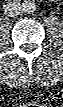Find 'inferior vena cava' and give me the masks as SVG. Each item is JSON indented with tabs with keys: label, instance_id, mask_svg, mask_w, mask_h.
<instances>
[{
	"label": "inferior vena cava",
	"instance_id": "obj_1",
	"mask_svg": "<svg viewBox=\"0 0 63 107\" xmlns=\"http://www.w3.org/2000/svg\"><path fill=\"white\" fill-rule=\"evenodd\" d=\"M21 9H22L21 4L15 0L7 2L6 5L4 6L5 14L10 17L19 15Z\"/></svg>",
	"mask_w": 63,
	"mask_h": 107
}]
</instances>
